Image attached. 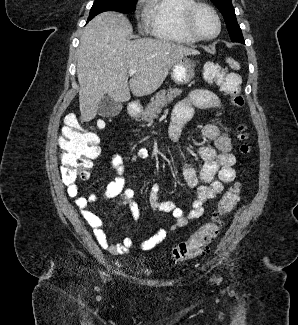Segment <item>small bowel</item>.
Here are the masks:
<instances>
[{
  "mask_svg": "<svg viewBox=\"0 0 298 325\" xmlns=\"http://www.w3.org/2000/svg\"><path fill=\"white\" fill-rule=\"evenodd\" d=\"M222 110L223 104L220 98L212 91L197 89L192 91L186 98L178 102L173 110L169 125V137L177 142L180 139L183 126L192 118L194 108ZM204 139L214 143L213 146L203 145L198 153L204 161L203 168L198 174L190 165L184 167V178L187 184L196 189V199L192 204L191 211L185 215L183 210L171 201L159 200V185L153 184L149 193V205L151 209L158 213H170L173 223L170 231H175L186 226L190 221L200 218L204 214L205 204L222 193L224 185L234 181L236 172L234 165L236 157L231 152L232 136L228 129H222L215 124H206L202 129ZM149 157L146 148H140L136 152L126 155L114 154L110 162L116 172V177L110 181L103 193L107 199L119 198L121 202L128 206L134 221L140 218V209L134 201V191L126 188L125 175L127 165L138 160ZM67 193L75 199L76 205L92 228L98 244L110 253L122 255L129 252L134 243L131 238L125 237L120 244L110 245L103 230L102 219L90 209L95 196L84 197L79 195L77 184L68 185ZM168 235V230L159 229L152 237L144 241L140 247L143 250H150L162 242Z\"/></svg>",
  "mask_w": 298,
  "mask_h": 325,
  "instance_id": "obj_1",
  "label": "small bowel"
}]
</instances>
